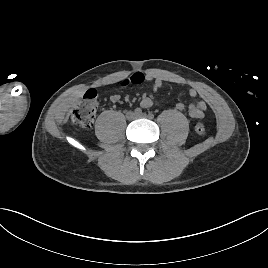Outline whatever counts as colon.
Instances as JSON below:
<instances>
[{"label": "colon", "mask_w": 268, "mask_h": 268, "mask_svg": "<svg viewBox=\"0 0 268 268\" xmlns=\"http://www.w3.org/2000/svg\"><path fill=\"white\" fill-rule=\"evenodd\" d=\"M97 92L94 89L88 90L79 105L71 111V121L83 129L91 128L97 109ZM197 135H204L206 128L203 123H197L194 127Z\"/></svg>", "instance_id": "5ec220e1"}]
</instances>
